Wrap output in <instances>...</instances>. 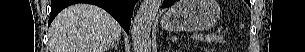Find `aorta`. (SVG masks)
I'll return each mask as SVG.
<instances>
[{
    "mask_svg": "<svg viewBox=\"0 0 305 52\" xmlns=\"http://www.w3.org/2000/svg\"><path fill=\"white\" fill-rule=\"evenodd\" d=\"M161 6V0H143L131 29L135 52H151V26Z\"/></svg>",
    "mask_w": 305,
    "mask_h": 52,
    "instance_id": "aorta-1",
    "label": "aorta"
}]
</instances>
